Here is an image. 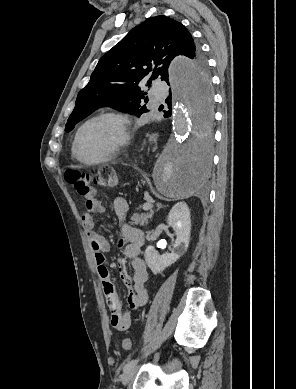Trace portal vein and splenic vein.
Returning <instances> with one entry per match:
<instances>
[{
  "mask_svg": "<svg viewBox=\"0 0 296 389\" xmlns=\"http://www.w3.org/2000/svg\"><path fill=\"white\" fill-rule=\"evenodd\" d=\"M154 201L152 200V199H150L147 203H145L144 205H143V210H145V211H147V210H150L151 208H152V203H153Z\"/></svg>",
  "mask_w": 296,
  "mask_h": 389,
  "instance_id": "portal-vein-and-splenic-vein-1",
  "label": "portal vein and splenic vein"
}]
</instances>
